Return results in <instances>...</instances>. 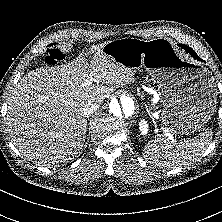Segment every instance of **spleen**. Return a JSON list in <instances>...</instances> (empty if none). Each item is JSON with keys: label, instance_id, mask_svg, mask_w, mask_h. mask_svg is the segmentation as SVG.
<instances>
[{"label": "spleen", "instance_id": "1", "mask_svg": "<svg viewBox=\"0 0 222 222\" xmlns=\"http://www.w3.org/2000/svg\"><path fill=\"white\" fill-rule=\"evenodd\" d=\"M211 135V132L206 131L193 139L180 141L175 147L168 139L159 135L145 146L143 156L158 166L169 168L186 166L203 154L210 144Z\"/></svg>", "mask_w": 222, "mask_h": 222}]
</instances>
